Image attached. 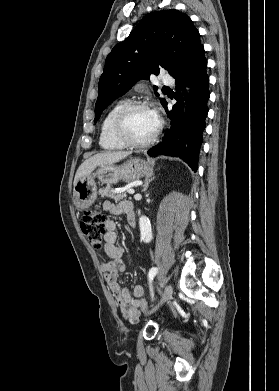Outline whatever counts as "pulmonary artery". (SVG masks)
I'll return each mask as SVG.
<instances>
[{"mask_svg": "<svg viewBox=\"0 0 279 391\" xmlns=\"http://www.w3.org/2000/svg\"><path fill=\"white\" fill-rule=\"evenodd\" d=\"M162 82H163L164 84L171 85V84L174 83V79H173L171 76H169V75H164V76L162 77Z\"/></svg>", "mask_w": 279, "mask_h": 391, "instance_id": "pulmonary-artery-1", "label": "pulmonary artery"}]
</instances>
